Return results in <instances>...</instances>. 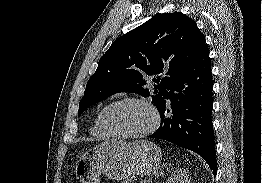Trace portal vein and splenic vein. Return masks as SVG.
<instances>
[{
    "label": "portal vein and splenic vein",
    "mask_w": 262,
    "mask_h": 183,
    "mask_svg": "<svg viewBox=\"0 0 262 183\" xmlns=\"http://www.w3.org/2000/svg\"><path fill=\"white\" fill-rule=\"evenodd\" d=\"M146 183H151V182H150V180H149V181H147Z\"/></svg>",
    "instance_id": "portal-vein-and-splenic-vein-1"
}]
</instances>
